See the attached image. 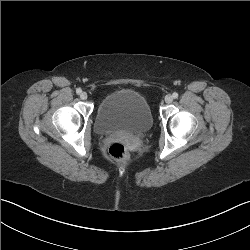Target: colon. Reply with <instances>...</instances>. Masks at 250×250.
I'll return each instance as SVG.
<instances>
[{
	"mask_svg": "<svg viewBox=\"0 0 250 250\" xmlns=\"http://www.w3.org/2000/svg\"><path fill=\"white\" fill-rule=\"evenodd\" d=\"M109 154L112 159L118 162H127L130 154L126 145L122 142H114L109 147Z\"/></svg>",
	"mask_w": 250,
	"mask_h": 250,
	"instance_id": "5ec220e1",
	"label": "colon"
}]
</instances>
